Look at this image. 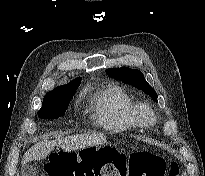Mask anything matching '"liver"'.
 I'll list each match as a JSON object with an SVG mask.
<instances>
[{
	"label": "liver",
	"mask_w": 205,
	"mask_h": 176,
	"mask_svg": "<svg viewBox=\"0 0 205 176\" xmlns=\"http://www.w3.org/2000/svg\"><path fill=\"white\" fill-rule=\"evenodd\" d=\"M106 137L103 134L71 135L55 140H44L31 147L23 156L22 164L42 160L50 154L55 146L61 147L65 152L84 149L104 144Z\"/></svg>",
	"instance_id": "obj_1"
}]
</instances>
